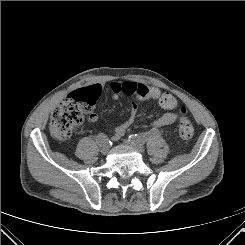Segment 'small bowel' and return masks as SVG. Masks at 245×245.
<instances>
[{
	"mask_svg": "<svg viewBox=\"0 0 245 245\" xmlns=\"http://www.w3.org/2000/svg\"><path fill=\"white\" fill-rule=\"evenodd\" d=\"M140 88H146L149 92L150 99H157L159 101V106L161 109L166 110L161 116L150 122L152 129H157L159 127L168 126L174 124L179 119V113L175 111L177 107V100L175 97L168 93H161L157 88L149 87L144 84L135 82H112L110 84V89L112 92V98L114 100L119 99L122 95L126 96H137L138 90ZM139 98V97H138ZM138 106L135 102H132L130 107V114L125 122L118 125L111 138L113 140H118L122 137L126 129L135 121L138 116ZM88 122H96L98 120V115L95 112H90L87 117Z\"/></svg>",
	"mask_w": 245,
	"mask_h": 245,
	"instance_id": "c3829d8e",
	"label": "small bowel"
}]
</instances>
